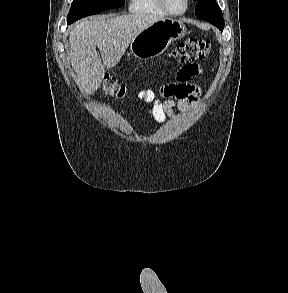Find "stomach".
<instances>
[{"mask_svg": "<svg viewBox=\"0 0 288 293\" xmlns=\"http://www.w3.org/2000/svg\"><path fill=\"white\" fill-rule=\"evenodd\" d=\"M186 31L182 21L163 18L140 32L130 43V51L138 59L159 56L173 41L184 37Z\"/></svg>", "mask_w": 288, "mask_h": 293, "instance_id": "0dacf381", "label": "stomach"}]
</instances>
